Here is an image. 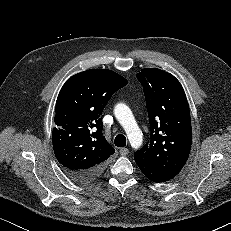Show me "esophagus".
<instances>
[{
	"label": "esophagus",
	"instance_id": "obj_1",
	"mask_svg": "<svg viewBox=\"0 0 231 231\" xmlns=\"http://www.w3.org/2000/svg\"><path fill=\"white\" fill-rule=\"evenodd\" d=\"M119 153L122 155V156H126L128 153H129V150L127 148H121L119 150Z\"/></svg>",
	"mask_w": 231,
	"mask_h": 231
}]
</instances>
